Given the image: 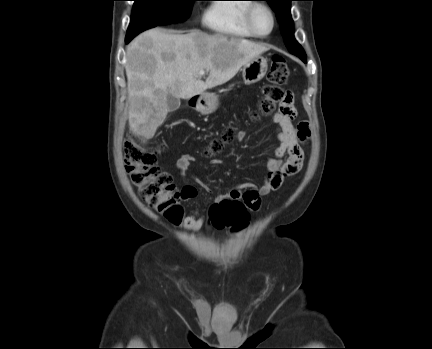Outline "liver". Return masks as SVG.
Masks as SVG:
<instances>
[{"instance_id":"liver-1","label":"liver","mask_w":432,"mask_h":349,"mask_svg":"<svg viewBox=\"0 0 432 349\" xmlns=\"http://www.w3.org/2000/svg\"><path fill=\"white\" fill-rule=\"evenodd\" d=\"M269 50L264 44L159 28L138 35L127 47L130 130L151 139L168 113L167 96L190 99L232 79L242 66ZM209 71L206 81L199 72Z\"/></svg>"}]
</instances>
